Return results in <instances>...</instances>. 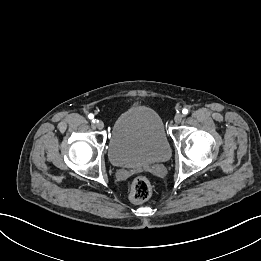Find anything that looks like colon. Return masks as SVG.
<instances>
[{
	"instance_id": "1",
	"label": "colon",
	"mask_w": 261,
	"mask_h": 261,
	"mask_svg": "<svg viewBox=\"0 0 261 261\" xmlns=\"http://www.w3.org/2000/svg\"><path fill=\"white\" fill-rule=\"evenodd\" d=\"M151 183L145 176H137L133 179L130 187L129 197L135 203L146 201L151 195Z\"/></svg>"
}]
</instances>
